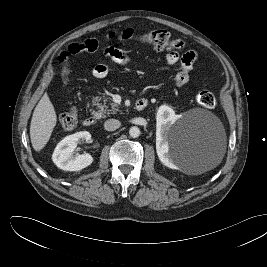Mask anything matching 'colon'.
Here are the masks:
<instances>
[{
	"mask_svg": "<svg viewBox=\"0 0 267 267\" xmlns=\"http://www.w3.org/2000/svg\"><path fill=\"white\" fill-rule=\"evenodd\" d=\"M114 38L120 41L139 40L148 43L156 50H166L170 53H176L184 47L181 39L172 38L165 30H155L145 34L137 35L132 30H125L119 34L114 33ZM68 75L67 67H64L61 73L62 79L66 80ZM196 102L203 108H213L216 105V98L210 91L203 90L197 93ZM78 123V115L75 108H70L59 118V125L64 130H73Z\"/></svg>",
	"mask_w": 267,
	"mask_h": 267,
	"instance_id": "1",
	"label": "colon"
}]
</instances>
